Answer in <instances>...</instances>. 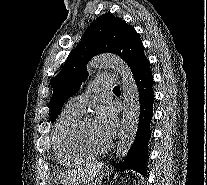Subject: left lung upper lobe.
<instances>
[{
  "label": "left lung upper lobe",
  "instance_id": "1",
  "mask_svg": "<svg viewBox=\"0 0 207 185\" xmlns=\"http://www.w3.org/2000/svg\"><path fill=\"white\" fill-rule=\"evenodd\" d=\"M111 52L119 55L130 67L133 76L149 67L144 46L135 29L122 18L106 13L86 30L80 43L69 55L51 85L50 120L53 123L65 101L76 94L87 77L86 64L97 54Z\"/></svg>",
  "mask_w": 207,
  "mask_h": 185
}]
</instances>
